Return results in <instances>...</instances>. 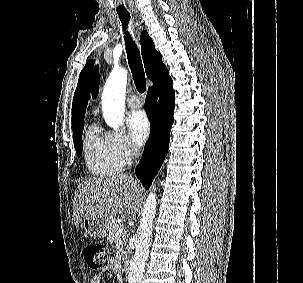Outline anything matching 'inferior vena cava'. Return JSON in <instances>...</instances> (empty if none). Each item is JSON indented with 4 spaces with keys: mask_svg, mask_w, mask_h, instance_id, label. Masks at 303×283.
Returning <instances> with one entry per match:
<instances>
[{
    "mask_svg": "<svg viewBox=\"0 0 303 283\" xmlns=\"http://www.w3.org/2000/svg\"><path fill=\"white\" fill-rule=\"evenodd\" d=\"M132 154L135 157V163L137 165L138 164V159L141 156L140 149L138 147H136V146H132Z\"/></svg>",
    "mask_w": 303,
    "mask_h": 283,
    "instance_id": "inferior-vena-cava-1",
    "label": "inferior vena cava"
}]
</instances>
